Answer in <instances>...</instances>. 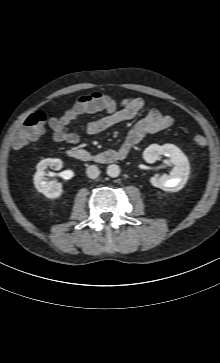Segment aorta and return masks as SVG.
I'll list each match as a JSON object with an SVG mask.
<instances>
[{"instance_id": "1", "label": "aorta", "mask_w": 220, "mask_h": 363, "mask_svg": "<svg viewBox=\"0 0 220 363\" xmlns=\"http://www.w3.org/2000/svg\"><path fill=\"white\" fill-rule=\"evenodd\" d=\"M107 175L109 177H112V178H115V177H118L119 174H120V168L118 165L116 164H111L107 167Z\"/></svg>"}]
</instances>
